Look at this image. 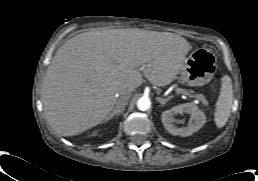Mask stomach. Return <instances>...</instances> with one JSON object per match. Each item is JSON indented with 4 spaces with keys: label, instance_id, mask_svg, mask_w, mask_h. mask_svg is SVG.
<instances>
[{
    "label": "stomach",
    "instance_id": "obj_1",
    "mask_svg": "<svg viewBox=\"0 0 258 181\" xmlns=\"http://www.w3.org/2000/svg\"><path fill=\"white\" fill-rule=\"evenodd\" d=\"M217 58L206 48L195 49L184 61L179 71L182 81L189 86H203L209 83L217 71Z\"/></svg>",
    "mask_w": 258,
    "mask_h": 181
}]
</instances>
